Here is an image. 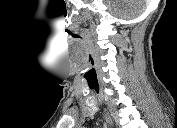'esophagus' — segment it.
<instances>
[{"label":"esophagus","mask_w":177,"mask_h":128,"mask_svg":"<svg viewBox=\"0 0 177 128\" xmlns=\"http://www.w3.org/2000/svg\"><path fill=\"white\" fill-rule=\"evenodd\" d=\"M107 119H108L109 123H112V120H111L110 116H107Z\"/></svg>","instance_id":"1"}]
</instances>
